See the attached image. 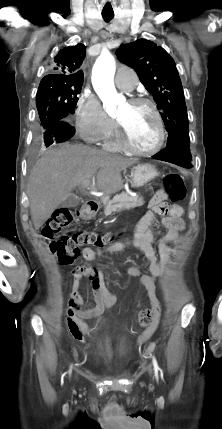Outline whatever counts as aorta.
Masks as SVG:
<instances>
[{
	"mask_svg": "<svg viewBox=\"0 0 222 429\" xmlns=\"http://www.w3.org/2000/svg\"><path fill=\"white\" fill-rule=\"evenodd\" d=\"M115 70L114 57L109 52H103L96 60L92 72L93 87L108 114L114 113L117 106L125 101L114 86Z\"/></svg>",
	"mask_w": 222,
	"mask_h": 429,
	"instance_id": "1",
	"label": "aorta"
}]
</instances>
